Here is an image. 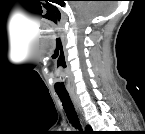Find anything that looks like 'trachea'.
I'll return each mask as SVG.
<instances>
[{"mask_svg": "<svg viewBox=\"0 0 145 134\" xmlns=\"http://www.w3.org/2000/svg\"><path fill=\"white\" fill-rule=\"evenodd\" d=\"M62 104H63V108L67 114V117L70 121V123L76 127V128H80V123H79V119L77 116V113L74 109V106L72 104V101L69 97V95H60L58 94Z\"/></svg>", "mask_w": 145, "mask_h": 134, "instance_id": "1", "label": "trachea"}]
</instances>
